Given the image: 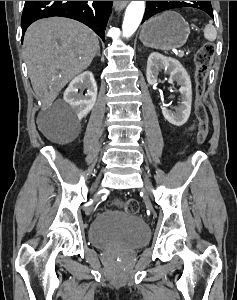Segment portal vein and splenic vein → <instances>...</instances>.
<instances>
[{
  "label": "portal vein and splenic vein",
  "mask_w": 237,
  "mask_h": 300,
  "mask_svg": "<svg viewBox=\"0 0 237 300\" xmlns=\"http://www.w3.org/2000/svg\"><path fill=\"white\" fill-rule=\"evenodd\" d=\"M179 54H180L179 57H180L181 59H183V58L185 57V56H184V53H183V50H181V49H180V53H179Z\"/></svg>",
  "instance_id": "portal-vein-and-splenic-vein-1"
}]
</instances>
